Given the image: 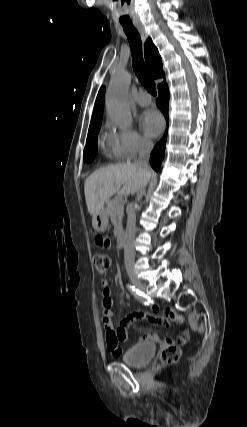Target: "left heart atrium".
Returning <instances> with one entry per match:
<instances>
[{"instance_id": "1", "label": "left heart atrium", "mask_w": 247, "mask_h": 427, "mask_svg": "<svg viewBox=\"0 0 247 427\" xmlns=\"http://www.w3.org/2000/svg\"><path fill=\"white\" fill-rule=\"evenodd\" d=\"M141 124L144 132L151 137L159 135L164 127L163 118L156 110L146 111L141 118Z\"/></svg>"}]
</instances>
